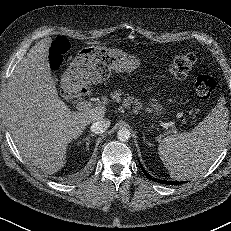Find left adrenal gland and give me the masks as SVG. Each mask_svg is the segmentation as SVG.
Wrapping results in <instances>:
<instances>
[{
	"label": "left adrenal gland",
	"instance_id": "1",
	"mask_svg": "<svg viewBox=\"0 0 231 231\" xmlns=\"http://www.w3.org/2000/svg\"><path fill=\"white\" fill-rule=\"evenodd\" d=\"M143 139H144V141H145L149 146H152V144H151L150 142L147 141V139H146V137H145L144 134H143Z\"/></svg>",
	"mask_w": 231,
	"mask_h": 231
}]
</instances>
